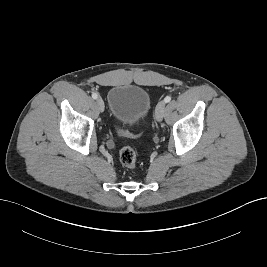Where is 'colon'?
<instances>
[{"label":"colon","instance_id":"1","mask_svg":"<svg viewBox=\"0 0 267 267\" xmlns=\"http://www.w3.org/2000/svg\"><path fill=\"white\" fill-rule=\"evenodd\" d=\"M116 129L119 133H121V130L116 125ZM129 136H137L133 133H127ZM119 159L120 162L129 169H134L136 166V154L135 151L130 147H124L119 152Z\"/></svg>","mask_w":267,"mask_h":267}]
</instances>
